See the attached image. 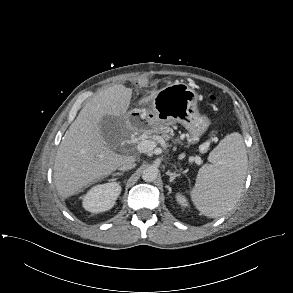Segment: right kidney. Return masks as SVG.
<instances>
[{
  "instance_id": "ca27d5eb",
  "label": "right kidney",
  "mask_w": 293,
  "mask_h": 293,
  "mask_svg": "<svg viewBox=\"0 0 293 293\" xmlns=\"http://www.w3.org/2000/svg\"><path fill=\"white\" fill-rule=\"evenodd\" d=\"M120 193L121 186L117 182L96 185L83 196V207L92 213L107 211L114 206Z\"/></svg>"
}]
</instances>
